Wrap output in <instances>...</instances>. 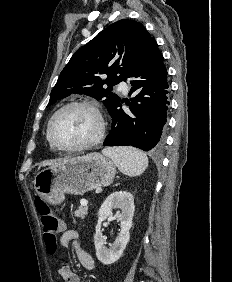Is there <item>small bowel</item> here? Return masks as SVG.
<instances>
[{
  "instance_id": "small-bowel-1",
  "label": "small bowel",
  "mask_w": 232,
  "mask_h": 282,
  "mask_svg": "<svg viewBox=\"0 0 232 282\" xmlns=\"http://www.w3.org/2000/svg\"><path fill=\"white\" fill-rule=\"evenodd\" d=\"M60 244L63 248L71 246L78 261L85 269L93 270L95 268L93 257L81 247L80 236L77 231L65 230L61 235ZM58 274L64 282H81L78 274L65 263L60 266Z\"/></svg>"
}]
</instances>
